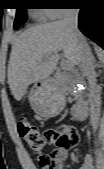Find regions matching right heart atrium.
<instances>
[{
	"instance_id": "right-heart-atrium-1",
	"label": "right heart atrium",
	"mask_w": 104,
	"mask_h": 169,
	"mask_svg": "<svg viewBox=\"0 0 104 169\" xmlns=\"http://www.w3.org/2000/svg\"><path fill=\"white\" fill-rule=\"evenodd\" d=\"M45 11H46V13H45L44 17L46 19L55 20V19L63 18L65 15H67L69 12H71L72 9L53 8V9H45Z\"/></svg>"
}]
</instances>
